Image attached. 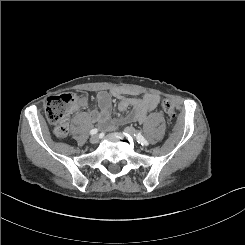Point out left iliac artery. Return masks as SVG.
I'll return each instance as SVG.
<instances>
[{"label":"left iliac artery","mask_w":245,"mask_h":245,"mask_svg":"<svg viewBox=\"0 0 245 245\" xmlns=\"http://www.w3.org/2000/svg\"><path fill=\"white\" fill-rule=\"evenodd\" d=\"M135 136H136L138 143H141L142 145H145V146L149 145L148 141L141 135L140 132H137Z\"/></svg>","instance_id":"obj_1"}]
</instances>
